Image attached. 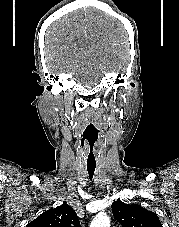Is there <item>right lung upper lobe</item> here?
Listing matches in <instances>:
<instances>
[{"label":"right lung upper lobe","mask_w":179,"mask_h":227,"mask_svg":"<svg viewBox=\"0 0 179 227\" xmlns=\"http://www.w3.org/2000/svg\"><path fill=\"white\" fill-rule=\"evenodd\" d=\"M26 227H80L76 212L66 203L43 212Z\"/></svg>","instance_id":"cb5924a9"}]
</instances>
